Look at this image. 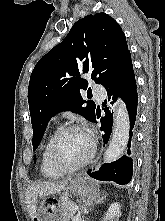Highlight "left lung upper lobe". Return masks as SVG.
<instances>
[{
    "mask_svg": "<svg viewBox=\"0 0 165 221\" xmlns=\"http://www.w3.org/2000/svg\"><path fill=\"white\" fill-rule=\"evenodd\" d=\"M128 54L124 32L108 14H90L73 25L66 38L38 61L30 77L33 150L51 117L60 111L71 110L94 120L95 105L81 97V90L88 87L81 75L90 73L92 80L104 85Z\"/></svg>",
    "mask_w": 165,
    "mask_h": 221,
    "instance_id": "5c2ea615",
    "label": "left lung upper lobe"
}]
</instances>
